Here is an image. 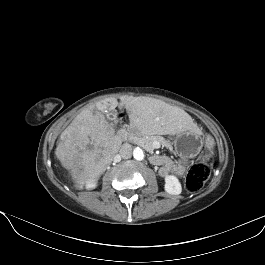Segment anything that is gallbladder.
<instances>
[{
	"label": "gallbladder",
	"instance_id": "gallbladder-1",
	"mask_svg": "<svg viewBox=\"0 0 265 265\" xmlns=\"http://www.w3.org/2000/svg\"><path fill=\"white\" fill-rule=\"evenodd\" d=\"M107 117L109 119V121H111L112 123H117V115L115 113H109L107 114Z\"/></svg>",
	"mask_w": 265,
	"mask_h": 265
}]
</instances>
